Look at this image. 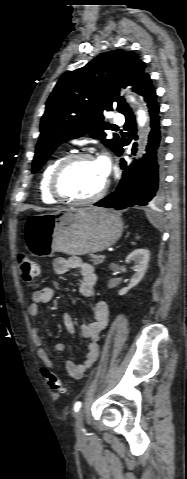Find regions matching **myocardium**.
<instances>
[{
    "label": "myocardium",
    "instance_id": "obj_1",
    "mask_svg": "<svg viewBox=\"0 0 187 479\" xmlns=\"http://www.w3.org/2000/svg\"><path fill=\"white\" fill-rule=\"evenodd\" d=\"M83 159H95V157L89 152L71 153L63 157L55 167L50 178L49 188L52 196L58 201L75 205H85L100 200L107 193L110 184L108 178H106L103 186L96 194L87 198H76L63 192V190L61 189V180L64 173L72 164Z\"/></svg>",
    "mask_w": 187,
    "mask_h": 479
}]
</instances>
